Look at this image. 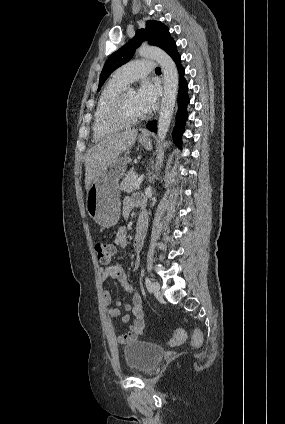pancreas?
<instances>
[{
  "label": "pancreas",
  "mask_w": 285,
  "mask_h": 424,
  "mask_svg": "<svg viewBox=\"0 0 285 424\" xmlns=\"http://www.w3.org/2000/svg\"><path fill=\"white\" fill-rule=\"evenodd\" d=\"M136 180H137V175L135 174V172L134 171L128 172L120 184V189L126 193H131L135 191V189H137L134 186Z\"/></svg>",
  "instance_id": "1"
}]
</instances>
